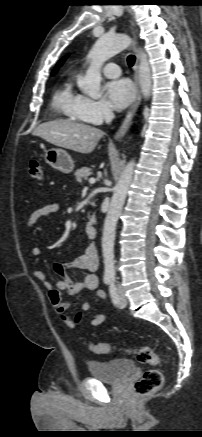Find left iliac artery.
Instances as JSON below:
<instances>
[{"label":"left iliac artery","instance_id":"left-iliac-artery-1","mask_svg":"<svg viewBox=\"0 0 202 437\" xmlns=\"http://www.w3.org/2000/svg\"><path fill=\"white\" fill-rule=\"evenodd\" d=\"M109 293H110V296H111L113 303L117 304L118 303V294L116 292V287H115L113 282H111V284H110Z\"/></svg>","mask_w":202,"mask_h":437}]
</instances>
